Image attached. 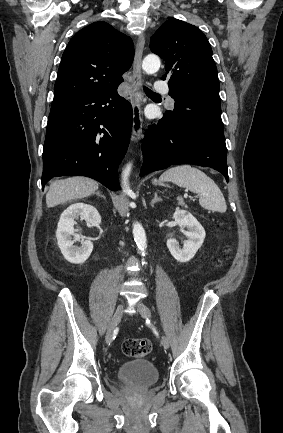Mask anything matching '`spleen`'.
Masks as SVG:
<instances>
[{"label": "spleen", "instance_id": "3e777b00", "mask_svg": "<svg viewBox=\"0 0 283 433\" xmlns=\"http://www.w3.org/2000/svg\"><path fill=\"white\" fill-rule=\"evenodd\" d=\"M159 180L161 182L171 180L178 186H185L192 192H198L199 202L207 210H218V212H226L227 210V204L219 186L205 172L190 166V164L168 168L161 174Z\"/></svg>", "mask_w": 283, "mask_h": 433}]
</instances>
